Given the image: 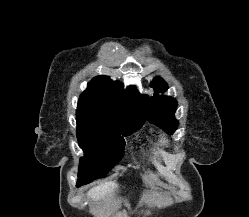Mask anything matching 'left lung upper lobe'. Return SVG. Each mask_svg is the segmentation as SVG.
<instances>
[{"instance_id":"5c2ea615","label":"left lung upper lobe","mask_w":249,"mask_h":217,"mask_svg":"<svg viewBox=\"0 0 249 217\" xmlns=\"http://www.w3.org/2000/svg\"><path fill=\"white\" fill-rule=\"evenodd\" d=\"M155 95L149 100L145 96V108L148 113V120L160 126L167 133L172 134L178 127V121L174 118L177 108V101L168 96H159L157 93L165 92L168 89L167 83L157 77L152 82Z\"/></svg>"}]
</instances>
